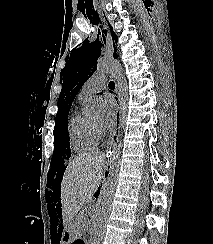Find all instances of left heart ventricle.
Returning a JSON list of instances; mask_svg holds the SVG:
<instances>
[{"mask_svg":"<svg viewBox=\"0 0 213 244\" xmlns=\"http://www.w3.org/2000/svg\"><path fill=\"white\" fill-rule=\"evenodd\" d=\"M93 121L95 122V123H99V119L97 118V119H93Z\"/></svg>","mask_w":213,"mask_h":244,"instance_id":"obj_1","label":"left heart ventricle"}]
</instances>
